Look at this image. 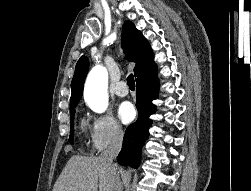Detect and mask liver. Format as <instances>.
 Masks as SVG:
<instances>
[{
	"label": "liver",
	"mask_w": 251,
	"mask_h": 191,
	"mask_svg": "<svg viewBox=\"0 0 251 191\" xmlns=\"http://www.w3.org/2000/svg\"><path fill=\"white\" fill-rule=\"evenodd\" d=\"M116 163L108 165L101 157L72 155L61 171L52 191H117L113 179Z\"/></svg>",
	"instance_id": "1"
}]
</instances>
